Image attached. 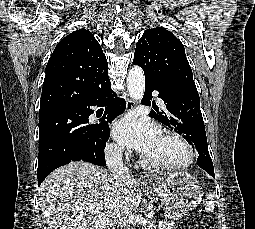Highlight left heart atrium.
Instances as JSON below:
<instances>
[{
  "mask_svg": "<svg viewBox=\"0 0 255 229\" xmlns=\"http://www.w3.org/2000/svg\"><path fill=\"white\" fill-rule=\"evenodd\" d=\"M112 135L120 144L145 155L151 153L162 138L161 130L155 123L134 115L115 122Z\"/></svg>",
  "mask_w": 255,
  "mask_h": 229,
  "instance_id": "left-heart-atrium-1",
  "label": "left heart atrium"
}]
</instances>
